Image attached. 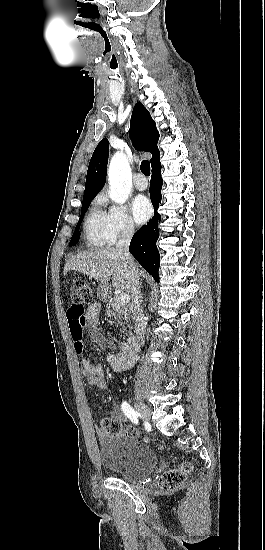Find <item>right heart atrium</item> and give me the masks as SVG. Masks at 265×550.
<instances>
[{
	"label": "right heart atrium",
	"mask_w": 265,
	"mask_h": 550,
	"mask_svg": "<svg viewBox=\"0 0 265 550\" xmlns=\"http://www.w3.org/2000/svg\"><path fill=\"white\" fill-rule=\"evenodd\" d=\"M107 228L112 241L119 238L131 237L135 233V225L126 208L119 204H112L106 213Z\"/></svg>",
	"instance_id": "d8ad5b80"
}]
</instances>
